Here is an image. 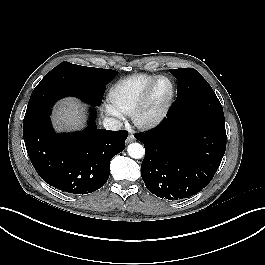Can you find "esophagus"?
<instances>
[{
  "mask_svg": "<svg viewBox=\"0 0 265 265\" xmlns=\"http://www.w3.org/2000/svg\"><path fill=\"white\" fill-rule=\"evenodd\" d=\"M134 140H135V137L133 135H129L126 142L130 143V142H133Z\"/></svg>",
  "mask_w": 265,
  "mask_h": 265,
  "instance_id": "34e87169",
  "label": "esophagus"
}]
</instances>
